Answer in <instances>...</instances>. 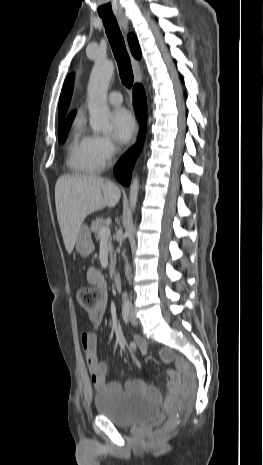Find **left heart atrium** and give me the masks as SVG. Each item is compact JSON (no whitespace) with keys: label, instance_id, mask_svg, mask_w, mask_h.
Wrapping results in <instances>:
<instances>
[{"label":"left heart atrium","instance_id":"39dd6f15","mask_svg":"<svg viewBox=\"0 0 263 465\" xmlns=\"http://www.w3.org/2000/svg\"><path fill=\"white\" fill-rule=\"evenodd\" d=\"M114 137L121 143L127 142L135 128L132 114L125 108H117L110 117Z\"/></svg>","mask_w":263,"mask_h":465}]
</instances>
